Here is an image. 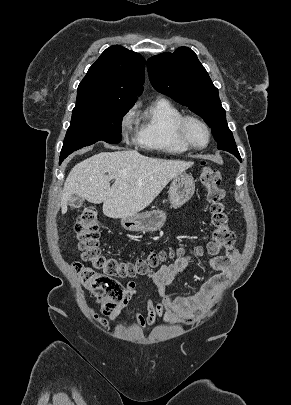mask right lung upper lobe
<instances>
[{
	"instance_id": "obj_1",
	"label": "right lung upper lobe",
	"mask_w": 291,
	"mask_h": 405,
	"mask_svg": "<svg viewBox=\"0 0 291 405\" xmlns=\"http://www.w3.org/2000/svg\"><path fill=\"white\" fill-rule=\"evenodd\" d=\"M145 59L120 45L107 48L77 89L76 106L110 103L133 106L143 91Z\"/></svg>"
}]
</instances>
